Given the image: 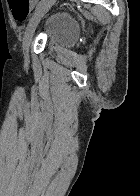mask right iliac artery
<instances>
[{"mask_svg": "<svg viewBox=\"0 0 140 196\" xmlns=\"http://www.w3.org/2000/svg\"><path fill=\"white\" fill-rule=\"evenodd\" d=\"M42 3H39V5L36 8V11L39 9V7L41 6Z\"/></svg>", "mask_w": 140, "mask_h": 196, "instance_id": "82829eb1", "label": "right iliac artery"}]
</instances>
